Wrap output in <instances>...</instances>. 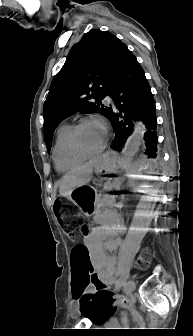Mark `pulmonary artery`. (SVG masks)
<instances>
[{
	"label": "pulmonary artery",
	"mask_w": 193,
	"mask_h": 336,
	"mask_svg": "<svg viewBox=\"0 0 193 336\" xmlns=\"http://www.w3.org/2000/svg\"><path fill=\"white\" fill-rule=\"evenodd\" d=\"M105 102L108 103V104L114 105L113 99L109 96L105 98Z\"/></svg>",
	"instance_id": "pulmonary-artery-1"
}]
</instances>
